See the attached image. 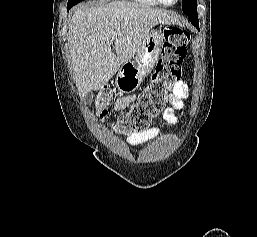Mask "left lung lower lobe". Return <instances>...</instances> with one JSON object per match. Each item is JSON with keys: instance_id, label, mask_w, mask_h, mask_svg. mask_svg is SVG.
<instances>
[{"instance_id": "0a47b994", "label": "left lung lower lobe", "mask_w": 257, "mask_h": 237, "mask_svg": "<svg viewBox=\"0 0 257 237\" xmlns=\"http://www.w3.org/2000/svg\"><path fill=\"white\" fill-rule=\"evenodd\" d=\"M191 23H192L197 29H199V21H191Z\"/></svg>"}]
</instances>
